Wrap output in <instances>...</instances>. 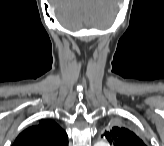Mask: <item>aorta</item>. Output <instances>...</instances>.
Masks as SVG:
<instances>
[{"label": "aorta", "instance_id": "obj_1", "mask_svg": "<svg viewBox=\"0 0 164 146\" xmlns=\"http://www.w3.org/2000/svg\"><path fill=\"white\" fill-rule=\"evenodd\" d=\"M97 144H98V146H107V143L104 141H100Z\"/></svg>", "mask_w": 164, "mask_h": 146}]
</instances>
